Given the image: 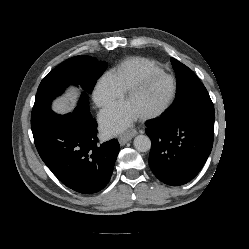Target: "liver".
Wrapping results in <instances>:
<instances>
[{"instance_id":"liver-1","label":"liver","mask_w":249,"mask_h":249,"mask_svg":"<svg viewBox=\"0 0 249 249\" xmlns=\"http://www.w3.org/2000/svg\"><path fill=\"white\" fill-rule=\"evenodd\" d=\"M70 98H60L55 101V109L60 113L68 112L72 109Z\"/></svg>"}]
</instances>
